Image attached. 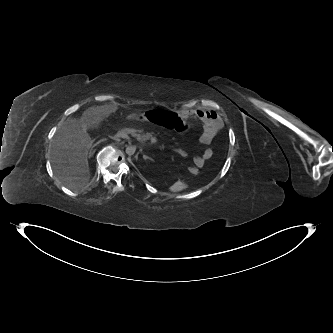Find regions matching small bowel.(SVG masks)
I'll return each instance as SVG.
<instances>
[{"label": "small bowel", "mask_w": 333, "mask_h": 333, "mask_svg": "<svg viewBox=\"0 0 333 333\" xmlns=\"http://www.w3.org/2000/svg\"><path fill=\"white\" fill-rule=\"evenodd\" d=\"M178 116H179V122L181 121V117H193L203 122L204 131L200 137V140L205 144H209L216 136L219 129L221 128V121L219 116L214 110L211 109L205 110L201 108H195L191 110H185L183 111L182 114ZM176 151L180 156L187 155L183 149H177ZM212 156H213L212 149L208 148L204 150L200 155L194 158L195 168H202L205 165V163L209 159H211Z\"/></svg>", "instance_id": "c3829d8e"}]
</instances>
